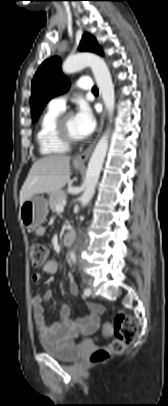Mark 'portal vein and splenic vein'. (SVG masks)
I'll return each instance as SVG.
<instances>
[{
    "label": "portal vein and splenic vein",
    "instance_id": "obj_1",
    "mask_svg": "<svg viewBox=\"0 0 168 406\" xmlns=\"http://www.w3.org/2000/svg\"><path fill=\"white\" fill-rule=\"evenodd\" d=\"M64 210V204H58L56 205V211L57 212H62Z\"/></svg>",
    "mask_w": 168,
    "mask_h": 406
}]
</instances>
